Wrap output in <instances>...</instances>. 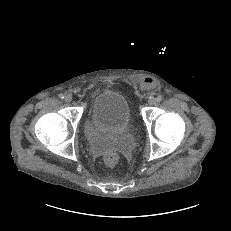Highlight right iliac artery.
Instances as JSON below:
<instances>
[{
	"label": "right iliac artery",
	"mask_w": 231,
	"mask_h": 231,
	"mask_svg": "<svg viewBox=\"0 0 231 231\" xmlns=\"http://www.w3.org/2000/svg\"><path fill=\"white\" fill-rule=\"evenodd\" d=\"M59 98L60 99H64V95L63 94H59Z\"/></svg>",
	"instance_id": "1"
}]
</instances>
